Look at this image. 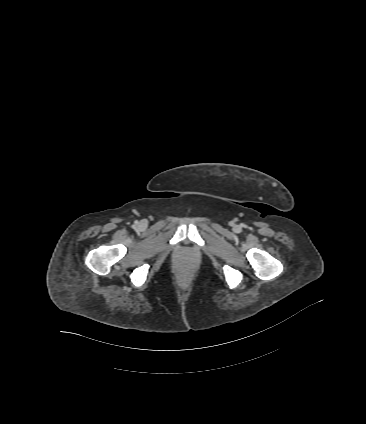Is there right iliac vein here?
Wrapping results in <instances>:
<instances>
[{
    "mask_svg": "<svg viewBox=\"0 0 366 424\" xmlns=\"http://www.w3.org/2000/svg\"><path fill=\"white\" fill-rule=\"evenodd\" d=\"M145 224H146L145 221H141L140 224H139V226L142 228V227L145 226Z\"/></svg>",
    "mask_w": 366,
    "mask_h": 424,
    "instance_id": "right-iliac-vein-1",
    "label": "right iliac vein"
}]
</instances>
